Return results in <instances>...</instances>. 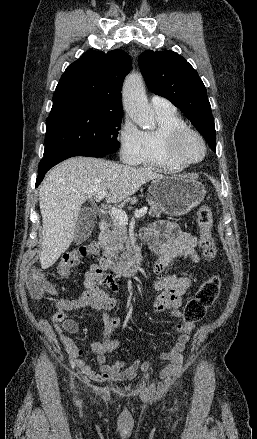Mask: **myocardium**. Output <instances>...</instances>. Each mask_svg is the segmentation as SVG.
<instances>
[{
	"label": "myocardium",
	"mask_w": 257,
	"mask_h": 439,
	"mask_svg": "<svg viewBox=\"0 0 257 439\" xmlns=\"http://www.w3.org/2000/svg\"><path fill=\"white\" fill-rule=\"evenodd\" d=\"M188 136L196 137L202 145L203 154L198 160H188L184 158L180 152V145ZM166 147L171 160L182 167H189L199 164L207 155V143L202 134L187 126L172 131L166 139Z\"/></svg>",
	"instance_id": "f54148a6"
}]
</instances>
